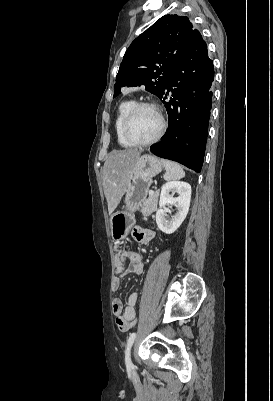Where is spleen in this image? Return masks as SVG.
<instances>
[{"mask_svg":"<svg viewBox=\"0 0 273 401\" xmlns=\"http://www.w3.org/2000/svg\"><path fill=\"white\" fill-rule=\"evenodd\" d=\"M161 162L166 170L164 174L165 180H177V178H182L185 176L183 168L177 162L173 160H166V158H161Z\"/></svg>","mask_w":273,"mask_h":401,"instance_id":"1","label":"spleen"}]
</instances>
